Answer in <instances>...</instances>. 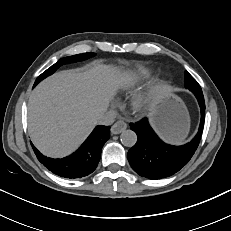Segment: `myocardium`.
<instances>
[{
    "mask_svg": "<svg viewBox=\"0 0 231 231\" xmlns=\"http://www.w3.org/2000/svg\"><path fill=\"white\" fill-rule=\"evenodd\" d=\"M163 84L161 82L149 85L146 89L134 94L130 99V109L136 114L147 113L159 99Z\"/></svg>",
    "mask_w": 231,
    "mask_h": 231,
    "instance_id": "f54148a6",
    "label": "myocardium"
}]
</instances>
